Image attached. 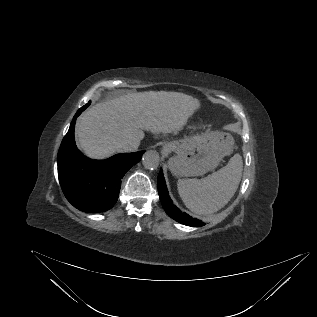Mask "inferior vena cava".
Here are the masks:
<instances>
[{"mask_svg": "<svg viewBox=\"0 0 317 317\" xmlns=\"http://www.w3.org/2000/svg\"><path fill=\"white\" fill-rule=\"evenodd\" d=\"M139 143L137 142H123L118 145L120 152H134L138 149Z\"/></svg>", "mask_w": 317, "mask_h": 317, "instance_id": "1", "label": "inferior vena cava"}]
</instances>
